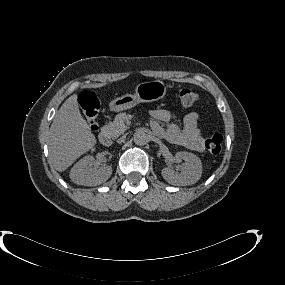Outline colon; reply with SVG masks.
Segmentation results:
<instances>
[{
	"instance_id": "colon-1",
	"label": "colon",
	"mask_w": 285,
	"mask_h": 285,
	"mask_svg": "<svg viewBox=\"0 0 285 285\" xmlns=\"http://www.w3.org/2000/svg\"><path fill=\"white\" fill-rule=\"evenodd\" d=\"M178 99L182 106L189 107L196 104L199 100V94L192 88H182L178 91ZM79 103L86 117L91 130L98 129L97 115L99 110V101L90 91H83L79 95ZM223 138L220 134H214L206 141V148L211 154H218L222 149Z\"/></svg>"
}]
</instances>
